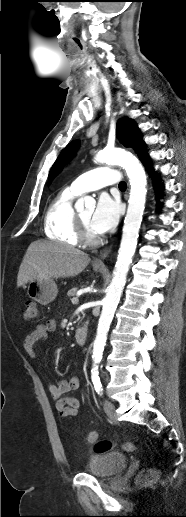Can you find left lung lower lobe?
Segmentation results:
<instances>
[{
    "label": "left lung lower lobe",
    "instance_id": "0a47b994",
    "mask_svg": "<svg viewBox=\"0 0 186 517\" xmlns=\"http://www.w3.org/2000/svg\"><path fill=\"white\" fill-rule=\"evenodd\" d=\"M140 159L141 161L143 162V164L147 165V155L145 153H143L141 156H140ZM161 188V187H159Z\"/></svg>",
    "mask_w": 186,
    "mask_h": 517
}]
</instances>
